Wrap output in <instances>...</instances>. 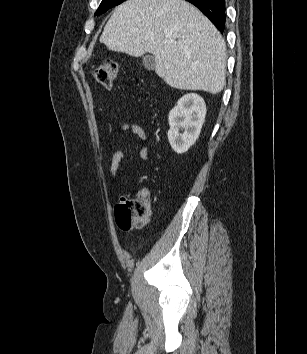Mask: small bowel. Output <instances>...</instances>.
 <instances>
[{
	"label": "small bowel",
	"mask_w": 307,
	"mask_h": 354,
	"mask_svg": "<svg viewBox=\"0 0 307 354\" xmlns=\"http://www.w3.org/2000/svg\"><path fill=\"white\" fill-rule=\"evenodd\" d=\"M119 129L123 132H131L132 134L138 137V139L142 143L139 152L140 158L144 161H148L150 159V156H149V147L147 143L148 136L145 129L136 123H130V122L122 123L119 126ZM124 157H125V152L123 150H118L112 155L111 162H110V173L113 176V178L119 182L120 180L118 175L120 170V164ZM148 195H149V191L145 188L140 189L135 193V197L137 198L148 197Z\"/></svg>",
	"instance_id": "c3829d8e"
}]
</instances>
